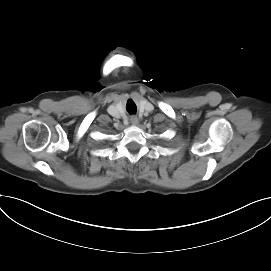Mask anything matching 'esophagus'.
Wrapping results in <instances>:
<instances>
[{
  "label": "esophagus",
  "instance_id": "1",
  "mask_svg": "<svg viewBox=\"0 0 271 271\" xmlns=\"http://www.w3.org/2000/svg\"><path fill=\"white\" fill-rule=\"evenodd\" d=\"M130 121L133 125L138 124V118L136 116H131Z\"/></svg>",
  "mask_w": 271,
  "mask_h": 271
}]
</instances>
